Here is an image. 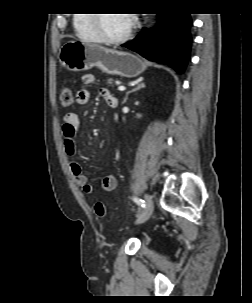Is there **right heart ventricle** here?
<instances>
[{"mask_svg": "<svg viewBox=\"0 0 252 303\" xmlns=\"http://www.w3.org/2000/svg\"><path fill=\"white\" fill-rule=\"evenodd\" d=\"M74 26L83 38L97 42L101 41L95 26L93 14H78L74 19Z\"/></svg>", "mask_w": 252, "mask_h": 303, "instance_id": "obj_1", "label": "right heart ventricle"}]
</instances>
